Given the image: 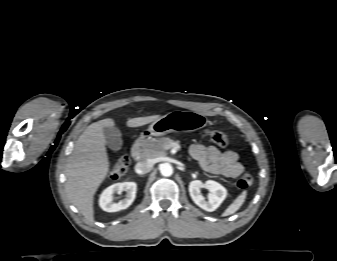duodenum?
<instances>
[{
  "label": "duodenum",
  "instance_id": "410a0bca",
  "mask_svg": "<svg viewBox=\"0 0 337 261\" xmlns=\"http://www.w3.org/2000/svg\"><path fill=\"white\" fill-rule=\"evenodd\" d=\"M143 139H144V137L138 138L132 146L131 155L135 159H137L140 156L141 143H142Z\"/></svg>",
  "mask_w": 337,
  "mask_h": 261
}]
</instances>
